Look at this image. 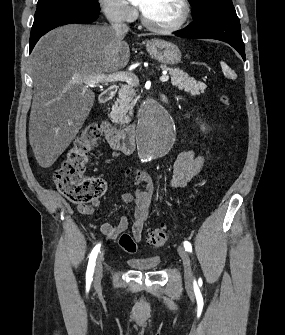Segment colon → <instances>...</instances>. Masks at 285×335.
Masks as SVG:
<instances>
[{"label": "colon", "instance_id": "colon-1", "mask_svg": "<svg viewBox=\"0 0 285 335\" xmlns=\"http://www.w3.org/2000/svg\"><path fill=\"white\" fill-rule=\"evenodd\" d=\"M221 101L227 104V96L222 95ZM101 135L100 124L87 125L75 139L64 161L54 171L53 179L58 190L73 203H91L105 192L106 183L102 178L84 176L89 154L97 145ZM146 237L147 241L155 247H162L169 241V234L163 228L149 230ZM118 244L128 253H136L138 250L137 241L128 232L119 235Z\"/></svg>", "mask_w": 285, "mask_h": 335}]
</instances>
